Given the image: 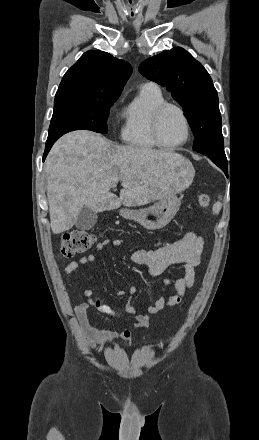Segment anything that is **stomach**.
I'll use <instances>...</instances> for the list:
<instances>
[{
	"label": "stomach",
	"instance_id": "obj_1",
	"mask_svg": "<svg viewBox=\"0 0 259 440\" xmlns=\"http://www.w3.org/2000/svg\"><path fill=\"white\" fill-rule=\"evenodd\" d=\"M179 206L180 199L172 195L147 208L137 210L121 209L120 215L127 220L138 222L148 230H159L169 224L177 213Z\"/></svg>",
	"mask_w": 259,
	"mask_h": 440
}]
</instances>
